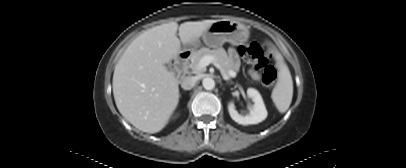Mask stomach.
<instances>
[{
  "label": "stomach",
  "mask_w": 406,
  "mask_h": 168,
  "mask_svg": "<svg viewBox=\"0 0 406 168\" xmlns=\"http://www.w3.org/2000/svg\"><path fill=\"white\" fill-rule=\"evenodd\" d=\"M201 37L203 42L211 48L220 47L225 42L232 45H241L249 38V30L238 21L222 19L214 22ZM189 45L193 51L201 45V42L198 38Z\"/></svg>",
  "instance_id": "1"
}]
</instances>
